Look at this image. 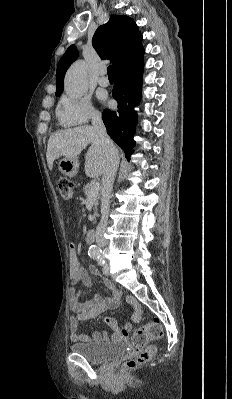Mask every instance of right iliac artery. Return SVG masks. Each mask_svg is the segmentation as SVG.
I'll list each match as a JSON object with an SVG mask.
<instances>
[{
	"mask_svg": "<svg viewBox=\"0 0 232 399\" xmlns=\"http://www.w3.org/2000/svg\"><path fill=\"white\" fill-rule=\"evenodd\" d=\"M97 259L101 258L100 256H96Z\"/></svg>",
	"mask_w": 232,
	"mask_h": 399,
	"instance_id": "82829eb1",
	"label": "right iliac artery"
}]
</instances>
